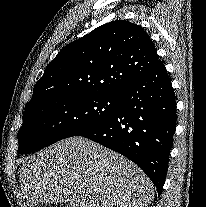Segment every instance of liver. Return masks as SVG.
Listing matches in <instances>:
<instances>
[{"label":"liver","mask_w":206,"mask_h":207,"mask_svg":"<svg viewBox=\"0 0 206 207\" xmlns=\"http://www.w3.org/2000/svg\"><path fill=\"white\" fill-rule=\"evenodd\" d=\"M27 205L148 207L154 186L133 162L83 137H70L27 157L19 171Z\"/></svg>","instance_id":"1"}]
</instances>
